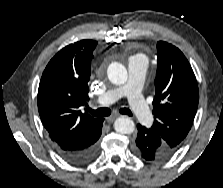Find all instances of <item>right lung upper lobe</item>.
<instances>
[{
  "mask_svg": "<svg viewBox=\"0 0 223 188\" xmlns=\"http://www.w3.org/2000/svg\"><path fill=\"white\" fill-rule=\"evenodd\" d=\"M93 40L60 50L46 66L38 89V111L53 144L77 145L95 132L102 118L79 108L88 99Z\"/></svg>",
  "mask_w": 223,
  "mask_h": 188,
  "instance_id": "1",
  "label": "right lung upper lobe"
}]
</instances>
